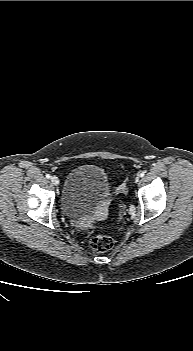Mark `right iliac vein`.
<instances>
[{"mask_svg": "<svg viewBox=\"0 0 193 351\" xmlns=\"http://www.w3.org/2000/svg\"><path fill=\"white\" fill-rule=\"evenodd\" d=\"M51 182H52L55 186L59 185V179H58V177L52 176V177H51Z\"/></svg>", "mask_w": 193, "mask_h": 351, "instance_id": "1", "label": "right iliac vein"}]
</instances>
